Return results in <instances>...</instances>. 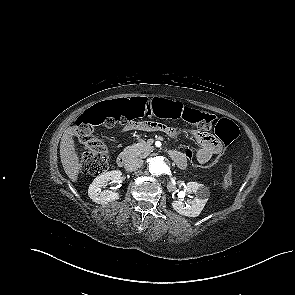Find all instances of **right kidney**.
<instances>
[{
	"mask_svg": "<svg viewBox=\"0 0 295 295\" xmlns=\"http://www.w3.org/2000/svg\"><path fill=\"white\" fill-rule=\"evenodd\" d=\"M121 175V171L113 170L97 176L90 184L88 189V195L90 199L98 204H104L118 200L120 197L119 193L112 192L110 190H102V188H104L109 181H111V183H120Z\"/></svg>",
	"mask_w": 295,
	"mask_h": 295,
	"instance_id": "obj_1",
	"label": "right kidney"
}]
</instances>
